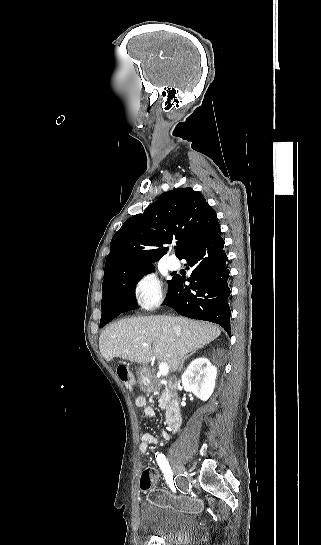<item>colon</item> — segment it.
<instances>
[{"label":"colon","mask_w":321,"mask_h":545,"mask_svg":"<svg viewBox=\"0 0 321 545\" xmlns=\"http://www.w3.org/2000/svg\"><path fill=\"white\" fill-rule=\"evenodd\" d=\"M117 374L129 390L134 388V377L127 367H118ZM153 484L154 479L151 471L145 469L140 477V486L142 490L150 492L149 498L154 504L187 512H199L202 509L201 502L198 499L183 494L174 495L163 490L152 489Z\"/></svg>","instance_id":"colon-1"}]
</instances>
